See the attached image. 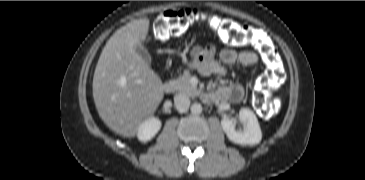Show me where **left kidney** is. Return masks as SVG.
Instances as JSON below:
<instances>
[{
	"label": "left kidney",
	"mask_w": 365,
	"mask_h": 180,
	"mask_svg": "<svg viewBox=\"0 0 365 180\" xmlns=\"http://www.w3.org/2000/svg\"><path fill=\"white\" fill-rule=\"evenodd\" d=\"M239 119L243 123V129H236L237 120L224 118L221 126L229 140L241 145H255L262 139L261 129L255 114L247 108L239 111Z\"/></svg>",
	"instance_id": "obj_1"
}]
</instances>
